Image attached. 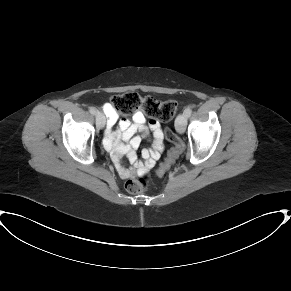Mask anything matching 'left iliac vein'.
Wrapping results in <instances>:
<instances>
[{
  "label": "left iliac vein",
  "instance_id": "1",
  "mask_svg": "<svg viewBox=\"0 0 291 291\" xmlns=\"http://www.w3.org/2000/svg\"><path fill=\"white\" fill-rule=\"evenodd\" d=\"M186 123L187 116L185 115V113H181L176 117L175 129L179 134H183L185 132Z\"/></svg>",
  "mask_w": 291,
  "mask_h": 291
}]
</instances>
